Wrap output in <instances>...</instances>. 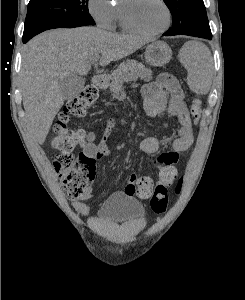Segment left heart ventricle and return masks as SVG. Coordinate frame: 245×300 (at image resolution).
I'll return each mask as SVG.
<instances>
[{"label": "left heart ventricle", "mask_w": 245, "mask_h": 300, "mask_svg": "<svg viewBox=\"0 0 245 300\" xmlns=\"http://www.w3.org/2000/svg\"><path fill=\"white\" fill-rule=\"evenodd\" d=\"M129 17L145 30L155 31L166 23V12L158 0H126Z\"/></svg>", "instance_id": "1"}]
</instances>
